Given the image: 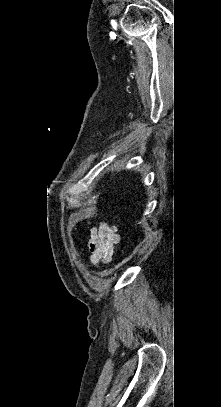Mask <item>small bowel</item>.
<instances>
[{"label": "small bowel", "mask_w": 221, "mask_h": 407, "mask_svg": "<svg viewBox=\"0 0 221 407\" xmlns=\"http://www.w3.org/2000/svg\"><path fill=\"white\" fill-rule=\"evenodd\" d=\"M119 240L120 235L113 226L100 223L98 227L91 229L86 240L91 262L97 265L102 261L110 260Z\"/></svg>", "instance_id": "small-bowel-1"}]
</instances>
